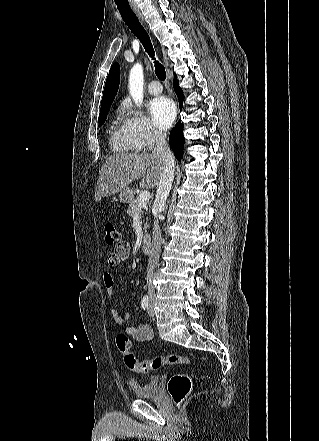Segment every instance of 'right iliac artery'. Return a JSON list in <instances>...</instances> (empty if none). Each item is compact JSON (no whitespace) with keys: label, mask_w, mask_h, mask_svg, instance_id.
Returning <instances> with one entry per match:
<instances>
[{"label":"right iliac artery","mask_w":319,"mask_h":441,"mask_svg":"<svg viewBox=\"0 0 319 441\" xmlns=\"http://www.w3.org/2000/svg\"><path fill=\"white\" fill-rule=\"evenodd\" d=\"M149 305V298L147 295H145L141 301V306L144 310H146L148 308Z\"/></svg>","instance_id":"right-iliac-artery-1"}]
</instances>
